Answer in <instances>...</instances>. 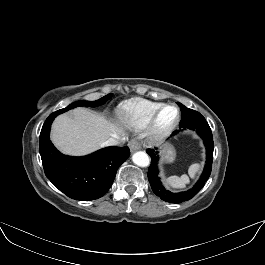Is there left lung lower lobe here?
Here are the masks:
<instances>
[{
    "label": "left lung lower lobe",
    "instance_id": "1",
    "mask_svg": "<svg viewBox=\"0 0 265 265\" xmlns=\"http://www.w3.org/2000/svg\"><path fill=\"white\" fill-rule=\"evenodd\" d=\"M190 129L195 130L198 135L203 139L205 148H206V164L204 170L199 178V180L195 183V185L183 192H171L167 190L159 177L158 170V161H159V152L157 149H148L146 152L151 156L152 162L148 169V180L151 185L153 192L159 196L163 201L169 203H182L192 199L205 185L208 180L211 169H212V160H213V137L211 129L205 120L198 119L185 127H181L180 130ZM179 131H174L172 135H175Z\"/></svg>",
    "mask_w": 265,
    "mask_h": 265
}]
</instances>
